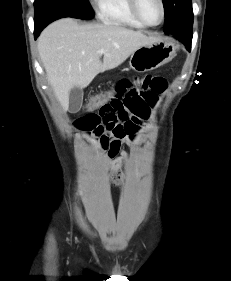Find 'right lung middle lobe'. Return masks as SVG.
I'll use <instances>...</instances> for the list:
<instances>
[{"mask_svg": "<svg viewBox=\"0 0 231 281\" xmlns=\"http://www.w3.org/2000/svg\"><path fill=\"white\" fill-rule=\"evenodd\" d=\"M56 5L70 10L74 18L91 19L94 17L91 5L87 0H35V17H38L48 7Z\"/></svg>", "mask_w": 231, "mask_h": 281, "instance_id": "1", "label": "right lung middle lobe"}]
</instances>
